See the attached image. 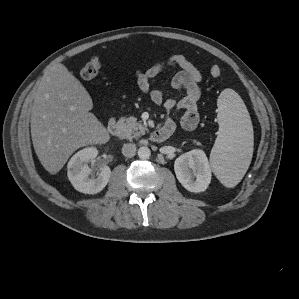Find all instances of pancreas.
I'll list each match as a JSON object with an SVG mask.
<instances>
[{
  "mask_svg": "<svg viewBox=\"0 0 299 299\" xmlns=\"http://www.w3.org/2000/svg\"><path fill=\"white\" fill-rule=\"evenodd\" d=\"M119 124L123 127L125 135L128 139L138 138L141 135H144L147 131V128L144 127L140 122L137 121L136 117L130 116L128 118L122 117L119 120ZM197 145L201 143L193 141Z\"/></svg>",
  "mask_w": 299,
  "mask_h": 299,
  "instance_id": "pancreas-1",
  "label": "pancreas"
}]
</instances>
